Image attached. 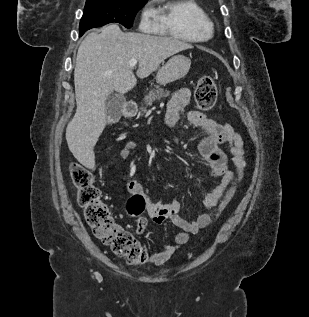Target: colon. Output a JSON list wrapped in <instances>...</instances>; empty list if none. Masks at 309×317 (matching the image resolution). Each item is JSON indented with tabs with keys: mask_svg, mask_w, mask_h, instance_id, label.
Returning <instances> with one entry per match:
<instances>
[{
	"mask_svg": "<svg viewBox=\"0 0 309 317\" xmlns=\"http://www.w3.org/2000/svg\"><path fill=\"white\" fill-rule=\"evenodd\" d=\"M194 99L201 110L213 108L217 99V88L210 76H203L198 80ZM70 174L78 190V203L94 235L129 264L144 263L148 258L145 248L137 238L115 222L108 206L101 199V191L95 185L92 172L79 163H72ZM227 199L228 196L221 201L220 208L226 204ZM128 210L133 215H140L144 210L143 197L134 195L128 203Z\"/></svg>",
	"mask_w": 309,
	"mask_h": 317,
	"instance_id": "1",
	"label": "colon"
}]
</instances>
